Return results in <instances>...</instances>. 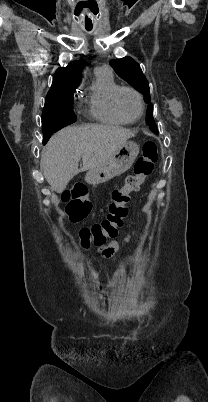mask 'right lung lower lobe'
<instances>
[{"label":"right lung lower lobe","instance_id":"98d812e1","mask_svg":"<svg viewBox=\"0 0 208 402\" xmlns=\"http://www.w3.org/2000/svg\"><path fill=\"white\" fill-rule=\"evenodd\" d=\"M64 126L67 125L57 120L51 122H43L42 123L43 134L45 136L46 142L49 140V138L52 136L53 133L60 130Z\"/></svg>","mask_w":208,"mask_h":402}]
</instances>
